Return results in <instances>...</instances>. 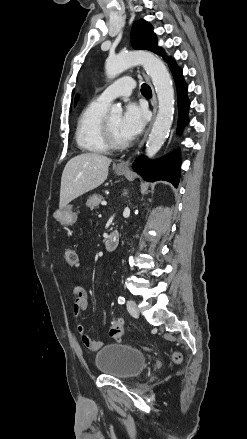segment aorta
<instances>
[{
  "mask_svg": "<svg viewBox=\"0 0 247 439\" xmlns=\"http://www.w3.org/2000/svg\"><path fill=\"white\" fill-rule=\"evenodd\" d=\"M138 64H142L150 76L159 103L158 113L146 143V155L152 158L164 144L170 132L174 115V88L166 66L151 53L122 52L106 60L105 73L108 78L113 79L124 70ZM110 113L113 117L121 116V106L113 105Z\"/></svg>",
  "mask_w": 247,
  "mask_h": 439,
  "instance_id": "1",
  "label": "aorta"
}]
</instances>
